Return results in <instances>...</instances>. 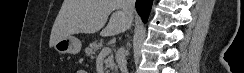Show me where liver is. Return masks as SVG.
Segmentation results:
<instances>
[{
  "label": "liver",
  "mask_w": 244,
  "mask_h": 73,
  "mask_svg": "<svg viewBox=\"0 0 244 73\" xmlns=\"http://www.w3.org/2000/svg\"><path fill=\"white\" fill-rule=\"evenodd\" d=\"M121 3V0H64L52 27L49 46L73 34H93L101 29L103 37L121 33L129 24Z\"/></svg>",
  "instance_id": "liver-1"
}]
</instances>
